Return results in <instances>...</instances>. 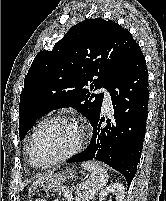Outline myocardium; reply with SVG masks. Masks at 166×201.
I'll list each match as a JSON object with an SVG mask.
<instances>
[{
  "instance_id": "myocardium-1",
  "label": "myocardium",
  "mask_w": 166,
  "mask_h": 201,
  "mask_svg": "<svg viewBox=\"0 0 166 201\" xmlns=\"http://www.w3.org/2000/svg\"><path fill=\"white\" fill-rule=\"evenodd\" d=\"M53 121H67V122L74 123L79 129L78 142H77L76 146L71 151L67 152L66 154H63L62 156L54 158V159L48 161L45 164L37 165L33 161V158H32V145H33L34 139H35L38 131L45 124L53 122ZM86 136H87V128H86V126L83 123L79 122L77 119L73 118V117H70V116H67V115H54V116L47 117V118L43 119L41 122H39L37 124V126L34 128L32 134L30 136V139H29V142H28V147H27V155H28L29 162L35 167L43 168V167H48V166L63 162L65 160H68V159L72 158L73 156H75L76 154H78L81 151V149L83 148L84 142L86 140Z\"/></svg>"
}]
</instances>
